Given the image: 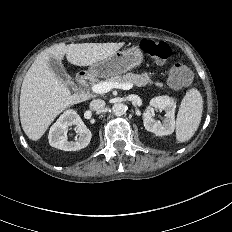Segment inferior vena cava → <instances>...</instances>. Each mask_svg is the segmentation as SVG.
Masks as SVG:
<instances>
[{"instance_id": "602c4592", "label": "inferior vena cava", "mask_w": 232, "mask_h": 232, "mask_svg": "<svg viewBox=\"0 0 232 232\" xmlns=\"http://www.w3.org/2000/svg\"><path fill=\"white\" fill-rule=\"evenodd\" d=\"M105 107V101L101 99H94L90 102V109L93 111H101Z\"/></svg>"}]
</instances>
